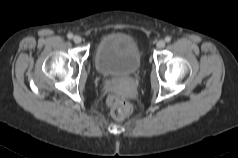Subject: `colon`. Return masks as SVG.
Segmentation results:
<instances>
[{
	"label": "colon",
	"instance_id": "obj_1",
	"mask_svg": "<svg viewBox=\"0 0 238 158\" xmlns=\"http://www.w3.org/2000/svg\"><path fill=\"white\" fill-rule=\"evenodd\" d=\"M108 102L111 106V114L115 119L120 120L129 115L131 111L130 104L123 98L113 94L109 97Z\"/></svg>",
	"mask_w": 238,
	"mask_h": 158
}]
</instances>
